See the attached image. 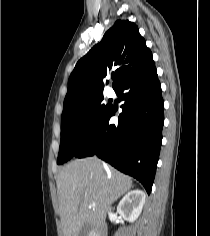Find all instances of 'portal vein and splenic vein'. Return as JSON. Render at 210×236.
I'll list each match as a JSON object with an SVG mask.
<instances>
[{
  "instance_id": "18ae733b",
  "label": "portal vein and splenic vein",
  "mask_w": 210,
  "mask_h": 236,
  "mask_svg": "<svg viewBox=\"0 0 210 236\" xmlns=\"http://www.w3.org/2000/svg\"><path fill=\"white\" fill-rule=\"evenodd\" d=\"M95 206H96L95 203H92V204L90 205L91 208H94Z\"/></svg>"
}]
</instances>
